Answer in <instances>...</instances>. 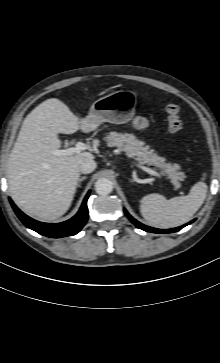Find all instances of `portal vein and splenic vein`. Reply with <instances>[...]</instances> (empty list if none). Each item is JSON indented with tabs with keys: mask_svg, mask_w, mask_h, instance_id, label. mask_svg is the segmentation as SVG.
<instances>
[{
	"mask_svg": "<svg viewBox=\"0 0 220 363\" xmlns=\"http://www.w3.org/2000/svg\"><path fill=\"white\" fill-rule=\"evenodd\" d=\"M86 149H89V146L82 143V142H77L75 147H71V148H67V149H64V150H61V149H57V150H54L53 151V154L56 155V156H60V155H73V154H76V153H79L83 150H86ZM138 167H140L142 170H144L145 172L151 174V175H154V176H161L162 174L151 169V168H148V167H145V166H141V165H137Z\"/></svg>",
	"mask_w": 220,
	"mask_h": 363,
	"instance_id": "portal-vein-and-splenic-vein-1",
	"label": "portal vein and splenic vein"
}]
</instances>
